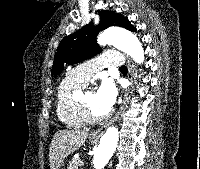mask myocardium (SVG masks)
Wrapping results in <instances>:
<instances>
[{
    "mask_svg": "<svg viewBox=\"0 0 200 169\" xmlns=\"http://www.w3.org/2000/svg\"><path fill=\"white\" fill-rule=\"evenodd\" d=\"M80 106L84 120L88 124H99L104 122L109 117V113L102 117H96L83 98L80 100Z\"/></svg>",
    "mask_w": 200,
    "mask_h": 169,
    "instance_id": "obj_1",
    "label": "myocardium"
}]
</instances>
